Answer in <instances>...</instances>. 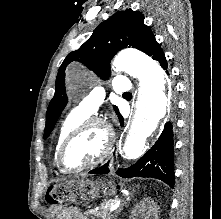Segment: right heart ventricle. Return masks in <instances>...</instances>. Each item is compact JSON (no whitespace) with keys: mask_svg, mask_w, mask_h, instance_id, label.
<instances>
[{"mask_svg":"<svg viewBox=\"0 0 221 219\" xmlns=\"http://www.w3.org/2000/svg\"><path fill=\"white\" fill-rule=\"evenodd\" d=\"M86 118L87 116L74 110L69 115H67V117L61 122L57 135H56L54 151H53V162L56 168H58L57 153H58L61 143L63 142L65 137L68 135V133L78 124L83 122Z\"/></svg>","mask_w":221,"mask_h":219,"instance_id":"e07e8e85","label":"right heart ventricle"}]
</instances>
